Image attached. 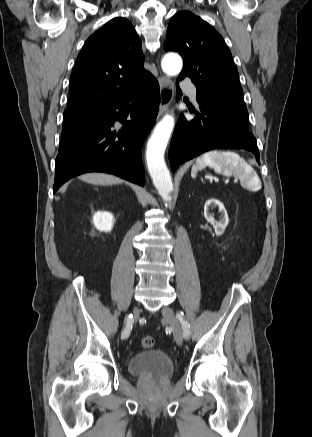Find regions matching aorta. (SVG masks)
<instances>
[{
  "instance_id": "obj_1",
  "label": "aorta",
  "mask_w": 312,
  "mask_h": 437,
  "mask_svg": "<svg viewBox=\"0 0 312 437\" xmlns=\"http://www.w3.org/2000/svg\"><path fill=\"white\" fill-rule=\"evenodd\" d=\"M162 69L168 75H177L182 69L181 57L168 54L162 60ZM174 128L173 116L166 115L160 121L147 144L146 160L153 184L158 193L171 207L173 183L164 161V152Z\"/></svg>"
}]
</instances>
